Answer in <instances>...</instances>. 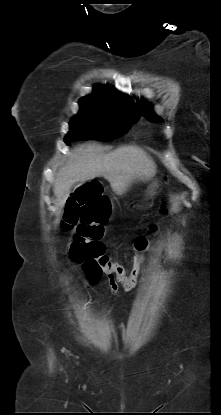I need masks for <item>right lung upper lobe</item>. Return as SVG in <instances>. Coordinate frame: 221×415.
<instances>
[{"instance_id":"cb5924a9","label":"right lung upper lobe","mask_w":221,"mask_h":415,"mask_svg":"<svg viewBox=\"0 0 221 415\" xmlns=\"http://www.w3.org/2000/svg\"><path fill=\"white\" fill-rule=\"evenodd\" d=\"M80 105H94L103 108L125 109L140 115L133 100L110 86L95 85L93 93L81 98Z\"/></svg>"}]
</instances>
